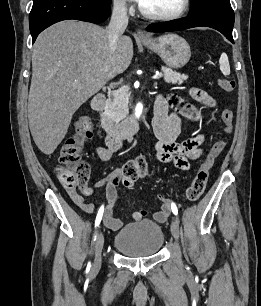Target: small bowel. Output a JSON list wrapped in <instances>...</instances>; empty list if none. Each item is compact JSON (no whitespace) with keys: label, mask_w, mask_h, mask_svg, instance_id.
<instances>
[{"label":"small bowel","mask_w":261,"mask_h":306,"mask_svg":"<svg viewBox=\"0 0 261 306\" xmlns=\"http://www.w3.org/2000/svg\"><path fill=\"white\" fill-rule=\"evenodd\" d=\"M191 97L210 107L217 106L216 100L207 92L191 88L189 90ZM171 102L177 106L178 112L170 111L166 98L157 97L154 105V117L152 121L153 131L156 137L154 151L156 158L163 163H170L181 170H190L191 161L199 158L203 153L202 145L205 141L204 134L187 138L182 142H177V138L181 132V117L180 114L191 119L199 120V114L196 108L189 104H182L176 97L171 99ZM122 148V139L107 136L106 146H98L95 148V155L102 161H109L113 155ZM119 170L114 171L109 176L99 180L96 187H105L107 206H103L102 222L113 230H119L123 226L122 220L113 215V206L117 199L116 187L119 184ZM92 192L91 187L82 189L84 195H89ZM71 200L84 212L88 214L95 213V206L91 202H87L82 194H79L74 189L68 190ZM161 208L156 211L153 218L158 223L165 222L170 215V204L162 197ZM102 207V206H101ZM145 216L144 211H135L132 213L134 221H140Z\"/></svg>","instance_id":"c3829d8e"}]
</instances>
